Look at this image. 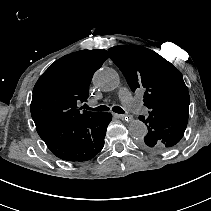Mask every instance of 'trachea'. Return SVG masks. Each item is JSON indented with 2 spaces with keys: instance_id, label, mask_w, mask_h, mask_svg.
Returning a JSON list of instances; mask_svg holds the SVG:
<instances>
[{
  "instance_id": "trachea-1",
  "label": "trachea",
  "mask_w": 211,
  "mask_h": 211,
  "mask_svg": "<svg viewBox=\"0 0 211 211\" xmlns=\"http://www.w3.org/2000/svg\"><path fill=\"white\" fill-rule=\"evenodd\" d=\"M85 109L92 110V111H108L109 107H107L105 105H101V106L92 108V107H89L88 105L85 104ZM112 111L115 112V113H119V114L125 113V111L119 106H113Z\"/></svg>"
}]
</instances>
